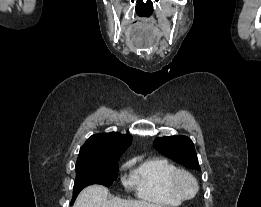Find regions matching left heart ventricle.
<instances>
[{
    "label": "left heart ventricle",
    "mask_w": 261,
    "mask_h": 207,
    "mask_svg": "<svg viewBox=\"0 0 261 207\" xmlns=\"http://www.w3.org/2000/svg\"><path fill=\"white\" fill-rule=\"evenodd\" d=\"M183 187L188 193H191L193 191V184L189 180L183 181Z\"/></svg>",
    "instance_id": "left-heart-ventricle-1"
}]
</instances>
